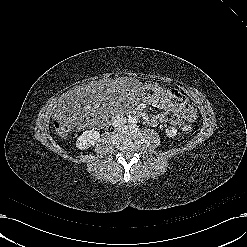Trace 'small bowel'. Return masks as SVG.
Wrapping results in <instances>:
<instances>
[{
	"mask_svg": "<svg viewBox=\"0 0 247 247\" xmlns=\"http://www.w3.org/2000/svg\"><path fill=\"white\" fill-rule=\"evenodd\" d=\"M152 84L158 83L151 82L148 84V87ZM160 86H162L165 91L164 98L160 101H155L147 96L146 101L163 110V112L158 115H150L148 123L152 126L164 123H169L173 126H181L185 122H193L196 118L194 106L190 104L178 90L163 85Z\"/></svg>",
	"mask_w": 247,
	"mask_h": 247,
	"instance_id": "c3829d8e",
	"label": "small bowel"
}]
</instances>
